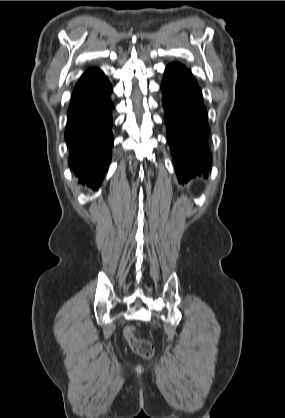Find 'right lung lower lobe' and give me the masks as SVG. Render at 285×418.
Returning a JSON list of instances; mask_svg holds the SVG:
<instances>
[{
  "label": "right lung lower lobe",
  "mask_w": 285,
  "mask_h": 418,
  "mask_svg": "<svg viewBox=\"0 0 285 418\" xmlns=\"http://www.w3.org/2000/svg\"><path fill=\"white\" fill-rule=\"evenodd\" d=\"M112 86L102 71L75 86L67 111L68 162L79 182L98 190L111 161Z\"/></svg>",
  "instance_id": "obj_1"
}]
</instances>
